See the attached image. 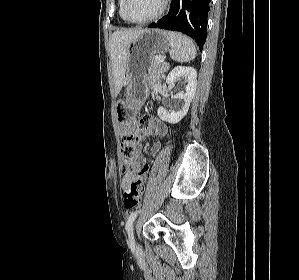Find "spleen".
<instances>
[{"instance_id":"spleen-1","label":"spleen","mask_w":299,"mask_h":280,"mask_svg":"<svg viewBox=\"0 0 299 280\" xmlns=\"http://www.w3.org/2000/svg\"><path fill=\"white\" fill-rule=\"evenodd\" d=\"M171 47L170 57L177 62H189L196 57V47L193 41L180 33L167 32Z\"/></svg>"}]
</instances>
